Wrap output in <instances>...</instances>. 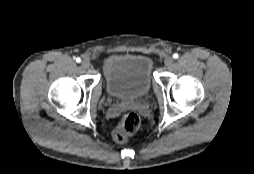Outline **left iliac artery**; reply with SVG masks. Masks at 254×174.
<instances>
[{"mask_svg":"<svg viewBox=\"0 0 254 174\" xmlns=\"http://www.w3.org/2000/svg\"><path fill=\"white\" fill-rule=\"evenodd\" d=\"M178 57H179V56H178L177 53L173 54V58H174V59H177Z\"/></svg>","mask_w":254,"mask_h":174,"instance_id":"obj_1","label":"left iliac artery"}]
</instances>
